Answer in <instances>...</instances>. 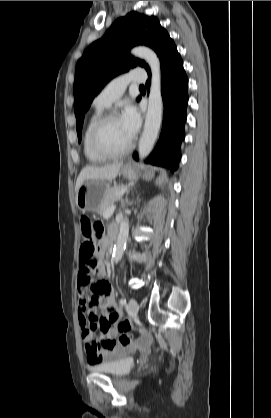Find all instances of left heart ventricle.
Here are the masks:
<instances>
[{
  "instance_id": "1",
  "label": "left heart ventricle",
  "mask_w": 271,
  "mask_h": 418,
  "mask_svg": "<svg viewBox=\"0 0 271 418\" xmlns=\"http://www.w3.org/2000/svg\"><path fill=\"white\" fill-rule=\"evenodd\" d=\"M101 141L105 147L112 151L124 149L131 139L125 132L120 118L110 120L104 127L101 134Z\"/></svg>"
}]
</instances>
